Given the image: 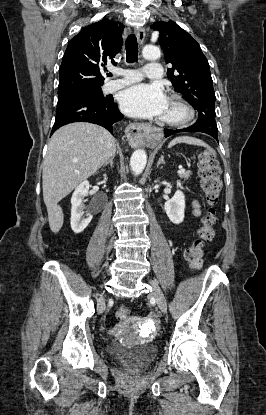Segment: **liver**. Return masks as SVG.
Returning a JSON list of instances; mask_svg holds the SVG:
<instances>
[{"instance_id":"6515ba94","label":"liver","mask_w":266,"mask_h":415,"mask_svg":"<svg viewBox=\"0 0 266 415\" xmlns=\"http://www.w3.org/2000/svg\"><path fill=\"white\" fill-rule=\"evenodd\" d=\"M115 153L114 137L95 124L71 123L52 135L42 173L43 199L52 232H59L64 222L59 201Z\"/></svg>"}]
</instances>
